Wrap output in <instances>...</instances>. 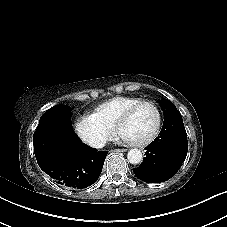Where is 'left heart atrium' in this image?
<instances>
[{
	"label": "left heart atrium",
	"instance_id": "obj_1",
	"mask_svg": "<svg viewBox=\"0 0 227 227\" xmlns=\"http://www.w3.org/2000/svg\"><path fill=\"white\" fill-rule=\"evenodd\" d=\"M118 139L133 145L140 143V139L137 136L128 133H121L120 135H118Z\"/></svg>",
	"mask_w": 227,
	"mask_h": 227
}]
</instances>
